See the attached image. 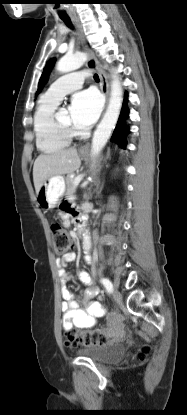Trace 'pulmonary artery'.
Instances as JSON below:
<instances>
[{"mask_svg":"<svg viewBox=\"0 0 187 415\" xmlns=\"http://www.w3.org/2000/svg\"><path fill=\"white\" fill-rule=\"evenodd\" d=\"M87 76L86 72L81 71L64 75L50 85L45 95L50 100L59 102L64 95L81 88Z\"/></svg>","mask_w":187,"mask_h":415,"instance_id":"obj_1","label":"pulmonary artery"}]
</instances>
